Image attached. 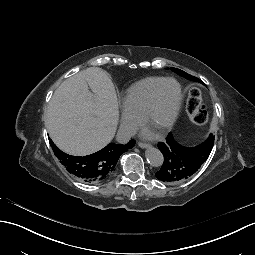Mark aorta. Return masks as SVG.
<instances>
[{
  "label": "aorta",
  "mask_w": 255,
  "mask_h": 255,
  "mask_svg": "<svg viewBox=\"0 0 255 255\" xmlns=\"http://www.w3.org/2000/svg\"><path fill=\"white\" fill-rule=\"evenodd\" d=\"M146 159L151 166L160 167L163 164V154L155 147H149L145 152Z\"/></svg>",
  "instance_id": "1"
}]
</instances>
